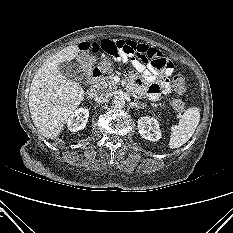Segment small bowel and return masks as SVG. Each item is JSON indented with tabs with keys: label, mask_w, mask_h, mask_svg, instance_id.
Wrapping results in <instances>:
<instances>
[{
	"label": "small bowel",
	"mask_w": 233,
	"mask_h": 233,
	"mask_svg": "<svg viewBox=\"0 0 233 233\" xmlns=\"http://www.w3.org/2000/svg\"><path fill=\"white\" fill-rule=\"evenodd\" d=\"M79 51L84 61L105 52L117 62L131 63L137 70L130 71L127 75L132 86L153 101L171 90L168 77L173 72V64L153 47L130 40L103 39L99 42H81Z\"/></svg>",
	"instance_id": "obj_1"
}]
</instances>
